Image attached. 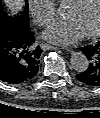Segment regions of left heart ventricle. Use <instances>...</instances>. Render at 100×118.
<instances>
[{
  "instance_id": "obj_1",
  "label": "left heart ventricle",
  "mask_w": 100,
  "mask_h": 118,
  "mask_svg": "<svg viewBox=\"0 0 100 118\" xmlns=\"http://www.w3.org/2000/svg\"><path fill=\"white\" fill-rule=\"evenodd\" d=\"M99 8L100 0H83L78 6L67 5L64 15L74 20L84 34L96 27Z\"/></svg>"
}]
</instances>
